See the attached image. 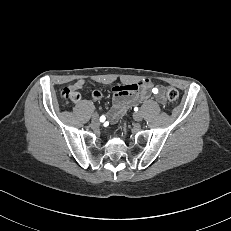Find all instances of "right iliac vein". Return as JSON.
I'll list each match as a JSON object with an SVG mask.
<instances>
[{
  "label": "right iliac vein",
  "instance_id": "1",
  "mask_svg": "<svg viewBox=\"0 0 231 231\" xmlns=\"http://www.w3.org/2000/svg\"><path fill=\"white\" fill-rule=\"evenodd\" d=\"M92 122H93L94 124H98V123L100 122L99 116H98L96 113H94V114L92 115Z\"/></svg>",
  "mask_w": 231,
  "mask_h": 231
}]
</instances>
